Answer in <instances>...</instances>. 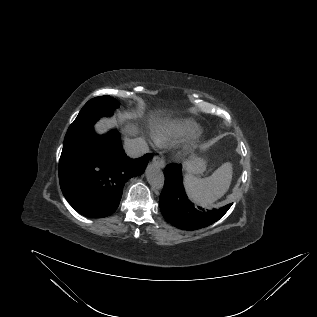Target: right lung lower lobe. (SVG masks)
<instances>
[{
    "label": "right lung lower lobe",
    "instance_id": "98d812e1",
    "mask_svg": "<svg viewBox=\"0 0 317 317\" xmlns=\"http://www.w3.org/2000/svg\"><path fill=\"white\" fill-rule=\"evenodd\" d=\"M151 158V154L140 159L127 157L117 131L98 136L90 129L62 150L61 190L82 215L109 216L119 206L125 182L142 174Z\"/></svg>",
    "mask_w": 317,
    "mask_h": 317
}]
</instances>
